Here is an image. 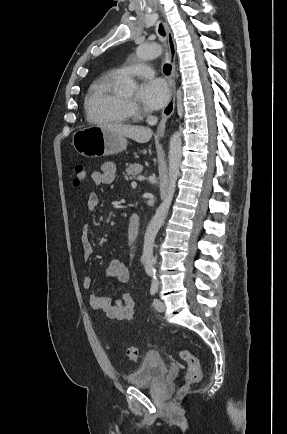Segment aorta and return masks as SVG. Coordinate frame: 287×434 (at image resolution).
Wrapping results in <instances>:
<instances>
[{"label":"aorta","instance_id":"obj_1","mask_svg":"<svg viewBox=\"0 0 287 434\" xmlns=\"http://www.w3.org/2000/svg\"><path fill=\"white\" fill-rule=\"evenodd\" d=\"M161 53L162 48L158 44H141L136 49V56L139 60L155 59L160 56ZM136 86L137 85L135 81L131 78H128L125 82L124 90L128 93H131L135 90ZM168 159L169 185L167 188V193L163 198L162 203L157 208L152 220L150 221L144 237L142 261L145 271L148 274L155 272V259L153 256L154 241L168 214L175 194L176 182L180 173L182 159V139L181 134L178 131H176L170 138Z\"/></svg>","mask_w":287,"mask_h":434}]
</instances>
